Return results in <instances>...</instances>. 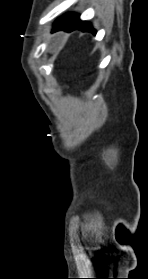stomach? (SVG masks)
<instances>
[{
    "label": "stomach",
    "mask_w": 148,
    "mask_h": 279,
    "mask_svg": "<svg viewBox=\"0 0 148 279\" xmlns=\"http://www.w3.org/2000/svg\"><path fill=\"white\" fill-rule=\"evenodd\" d=\"M46 55H55V50H46Z\"/></svg>",
    "instance_id": "1"
}]
</instances>
